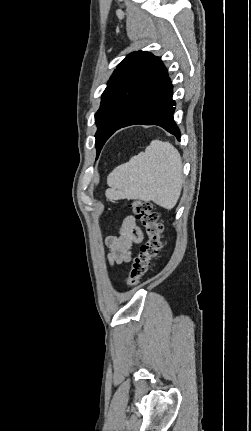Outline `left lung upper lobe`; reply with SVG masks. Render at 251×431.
<instances>
[{
	"label": "left lung upper lobe",
	"mask_w": 251,
	"mask_h": 431,
	"mask_svg": "<svg viewBox=\"0 0 251 431\" xmlns=\"http://www.w3.org/2000/svg\"><path fill=\"white\" fill-rule=\"evenodd\" d=\"M158 61L159 57L138 51L127 55L117 66L95 114L97 156Z\"/></svg>",
	"instance_id": "1"
}]
</instances>
